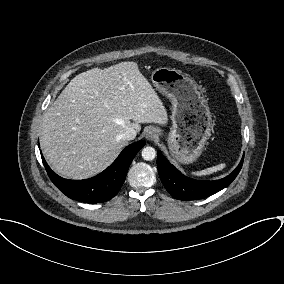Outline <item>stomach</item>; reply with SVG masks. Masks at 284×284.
<instances>
[{
    "label": "stomach",
    "mask_w": 284,
    "mask_h": 284,
    "mask_svg": "<svg viewBox=\"0 0 284 284\" xmlns=\"http://www.w3.org/2000/svg\"><path fill=\"white\" fill-rule=\"evenodd\" d=\"M151 81L172 104L168 136L172 157L183 164L194 162L212 130L210 109L201 88L187 73L165 67L153 71Z\"/></svg>",
    "instance_id": "0dacf381"
}]
</instances>
